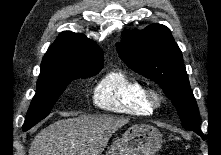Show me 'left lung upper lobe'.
<instances>
[{
    "label": "left lung upper lobe",
    "instance_id": "5c2ea615",
    "mask_svg": "<svg viewBox=\"0 0 221 155\" xmlns=\"http://www.w3.org/2000/svg\"><path fill=\"white\" fill-rule=\"evenodd\" d=\"M116 45L121 59L137 73L157 82L177 109L185 129L199 128V110L190 88L182 53L170 30L151 24L142 31L125 32Z\"/></svg>",
    "mask_w": 221,
    "mask_h": 155
}]
</instances>
